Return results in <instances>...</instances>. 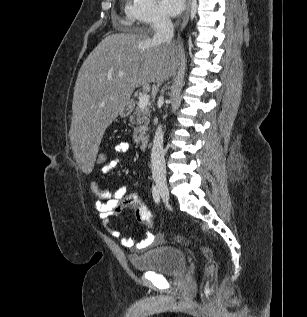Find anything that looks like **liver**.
Wrapping results in <instances>:
<instances>
[{
  "instance_id": "6515ba94",
  "label": "liver",
  "mask_w": 307,
  "mask_h": 317,
  "mask_svg": "<svg viewBox=\"0 0 307 317\" xmlns=\"http://www.w3.org/2000/svg\"><path fill=\"white\" fill-rule=\"evenodd\" d=\"M175 50L147 32L105 37L82 64L74 87L70 140L83 175H92L105 130L136 87L167 80ZM119 73H123L122 76Z\"/></svg>"
}]
</instances>
